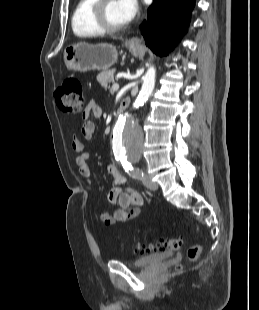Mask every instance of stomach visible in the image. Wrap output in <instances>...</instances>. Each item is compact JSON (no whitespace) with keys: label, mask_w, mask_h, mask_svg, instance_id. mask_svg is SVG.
Returning a JSON list of instances; mask_svg holds the SVG:
<instances>
[{"label":"stomach","mask_w":259,"mask_h":310,"mask_svg":"<svg viewBox=\"0 0 259 310\" xmlns=\"http://www.w3.org/2000/svg\"><path fill=\"white\" fill-rule=\"evenodd\" d=\"M133 55L137 56L140 49L129 46ZM118 53L111 44H88L85 42L69 45L64 50V62L68 69L80 72L91 70H107L117 61Z\"/></svg>","instance_id":"1"}]
</instances>
